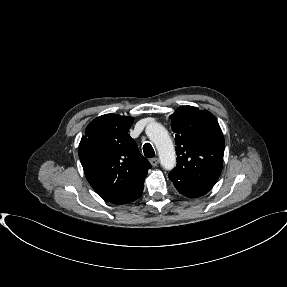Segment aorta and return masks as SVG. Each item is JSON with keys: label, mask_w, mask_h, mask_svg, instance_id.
Returning a JSON list of instances; mask_svg holds the SVG:
<instances>
[{"label": "aorta", "mask_w": 287, "mask_h": 287, "mask_svg": "<svg viewBox=\"0 0 287 287\" xmlns=\"http://www.w3.org/2000/svg\"><path fill=\"white\" fill-rule=\"evenodd\" d=\"M146 134L157 148L161 166L172 170L176 165V154L168 131L160 123L152 122L147 125Z\"/></svg>", "instance_id": "1"}]
</instances>
